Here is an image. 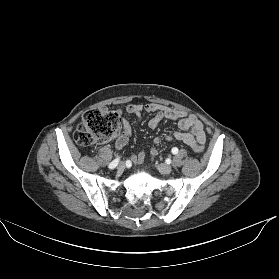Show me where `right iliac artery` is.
Listing matches in <instances>:
<instances>
[{
	"mask_svg": "<svg viewBox=\"0 0 279 279\" xmlns=\"http://www.w3.org/2000/svg\"><path fill=\"white\" fill-rule=\"evenodd\" d=\"M118 162H119V158L114 159V160L109 164V168H110V169H114V168L117 166Z\"/></svg>",
	"mask_w": 279,
	"mask_h": 279,
	"instance_id": "right-iliac-artery-1",
	"label": "right iliac artery"
}]
</instances>
